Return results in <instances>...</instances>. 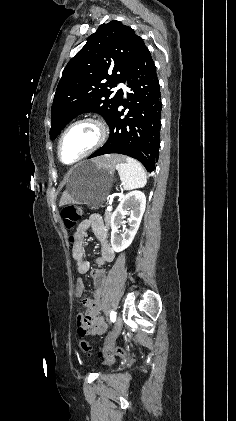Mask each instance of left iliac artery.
<instances>
[{
  "label": "left iliac artery",
  "instance_id": "obj_1",
  "mask_svg": "<svg viewBox=\"0 0 236 421\" xmlns=\"http://www.w3.org/2000/svg\"><path fill=\"white\" fill-rule=\"evenodd\" d=\"M110 320L113 323L116 321V312L115 311H111V313H110Z\"/></svg>",
  "mask_w": 236,
  "mask_h": 421
}]
</instances>
